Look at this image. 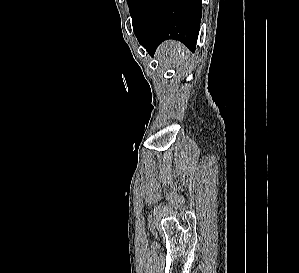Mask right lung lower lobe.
I'll use <instances>...</instances> for the list:
<instances>
[{"mask_svg": "<svg viewBox=\"0 0 299 273\" xmlns=\"http://www.w3.org/2000/svg\"><path fill=\"white\" fill-rule=\"evenodd\" d=\"M131 16L135 35L151 56L167 39L179 40L194 51L202 18V2L135 0Z\"/></svg>", "mask_w": 299, "mask_h": 273, "instance_id": "98d812e1", "label": "right lung lower lobe"}]
</instances>
